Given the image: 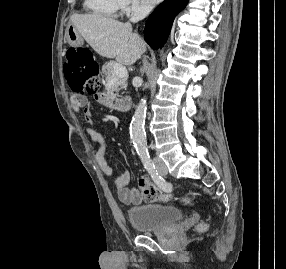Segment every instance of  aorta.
<instances>
[{"label":"aorta","instance_id":"762f6f07","mask_svg":"<svg viewBox=\"0 0 286 269\" xmlns=\"http://www.w3.org/2000/svg\"><path fill=\"white\" fill-rule=\"evenodd\" d=\"M147 110V100L142 98L136 107L130 124V136L132 143L141 157H147L148 149L146 143V134L144 130Z\"/></svg>","mask_w":286,"mask_h":269}]
</instances>
